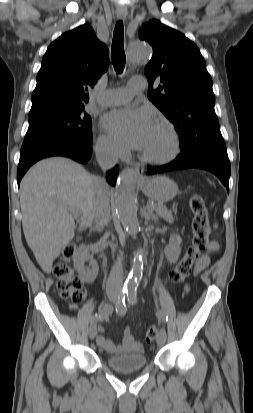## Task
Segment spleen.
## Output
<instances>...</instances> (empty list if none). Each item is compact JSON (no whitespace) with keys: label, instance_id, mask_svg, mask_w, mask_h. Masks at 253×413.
<instances>
[{"label":"spleen","instance_id":"spleen-1","mask_svg":"<svg viewBox=\"0 0 253 413\" xmlns=\"http://www.w3.org/2000/svg\"><path fill=\"white\" fill-rule=\"evenodd\" d=\"M214 227L217 228V224H215Z\"/></svg>","mask_w":253,"mask_h":413}]
</instances>
